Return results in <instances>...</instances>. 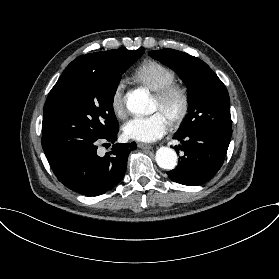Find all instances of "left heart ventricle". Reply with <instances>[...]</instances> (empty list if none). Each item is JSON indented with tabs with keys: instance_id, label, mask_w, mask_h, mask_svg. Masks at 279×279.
Returning a JSON list of instances; mask_svg holds the SVG:
<instances>
[{
	"instance_id": "b2bd125f",
	"label": "left heart ventricle",
	"mask_w": 279,
	"mask_h": 279,
	"mask_svg": "<svg viewBox=\"0 0 279 279\" xmlns=\"http://www.w3.org/2000/svg\"><path fill=\"white\" fill-rule=\"evenodd\" d=\"M178 108V103L176 101H171L166 104H161L155 97L154 99V111H161L166 119H169L175 114Z\"/></svg>"
}]
</instances>
